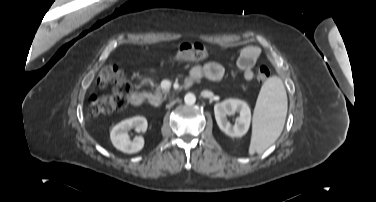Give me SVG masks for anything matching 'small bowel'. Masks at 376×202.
I'll use <instances>...</instances> for the list:
<instances>
[{
  "instance_id": "small-bowel-1",
  "label": "small bowel",
  "mask_w": 376,
  "mask_h": 202,
  "mask_svg": "<svg viewBox=\"0 0 376 202\" xmlns=\"http://www.w3.org/2000/svg\"><path fill=\"white\" fill-rule=\"evenodd\" d=\"M261 54V50L255 46L245 47L241 52L237 60L238 67L243 71V77L249 81L253 78L252 67L256 63ZM224 76L223 67L216 62H209L205 65H194L191 67L187 83L192 84L202 77H205L211 81H219Z\"/></svg>"
}]
</instances>
